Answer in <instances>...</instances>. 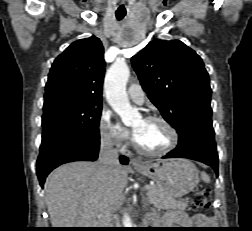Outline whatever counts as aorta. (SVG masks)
I'll use <instances>...</instances> for the list:
<instances>
[{
	"mask_svg": "<svg viewBox=\"0 0 252 231\" xmlns=\"http://www.w3.org/2000/svg\"><path fill=\"white\" fill-rule=\"evenodd\" d=\"M129 76L130 70L126 62L116 60L109 68L105 78L106 99L126 125L131 124L139 115L137 110L131 107L126 93ZM123 225L125 228L133 227V222L127 213H124Z\"/></svg>",
	"mask_w": 252,
	"mask_h": 231,
	"instance_id": "762f6f07",
	"label": "aorta"
}]
</instances>
